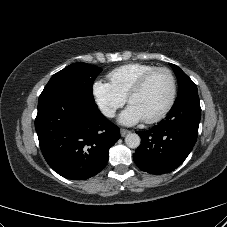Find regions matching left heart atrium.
Instances as JSON below:
<instances>
[{
	"label": "left heart atrium",
	"instance_id": "left-heart-atrium-1",
	"mask_svg": "<svg viewBox=\"0 0 227 227\" xmlns=\"http://www.w3.org/2000/svg\"><path fill=\"white\" fill-rule=\"evenodd\" d=\"M119 120L122 124L132 125L143 120V118L139 112L132 105H130L122 112Z\"/></svg>",
	"mask_w": 227,
	"mask_h": 227
}]
</instances>
